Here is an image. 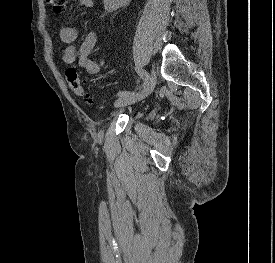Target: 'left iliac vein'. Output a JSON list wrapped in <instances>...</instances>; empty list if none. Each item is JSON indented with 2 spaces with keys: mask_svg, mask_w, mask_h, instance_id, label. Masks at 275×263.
I'll return each instance as SVG.
<instances>
[{
  "mask_svg": "<svg viewBox=\"0 0 275 263\" xmlns=\"http://www.w3.org/2000/svg\"><path fill=\"white\" fill-rule=\"evenodd\" d=\"M155 84H156V72L154 69H152L149 75L148 81L140 90L136 92H130L123 96H120L115 101L114 106L116 108H121L144 99L153 91ZM103 134H104L103 131L99 132V136H98L99 140H102Z\"/></svg>",
  "mask_w": 275,
  "mask_h": 263,
  "instance_id": "4c4485c4",
  "label": "left iliac vein"
}]
</instances>
